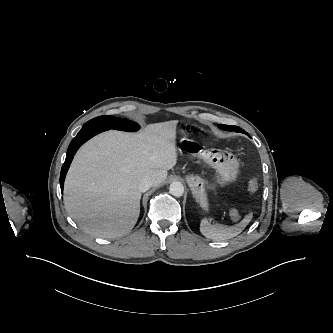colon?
I'll return each instance as SVG.
<instances>
[{"label":"colon","instance_id":"colon-1","mask_svg":"<svg viewBox=\"0 0 333 333\" xmlns=\"http://www.w3.org/2000/svg\"><path fill=\"white\" fill-rule=\"evenodd\" d=\"M258 182L256 179H251L249 182H248V185H247V190L250 194H253L255 193L257 190H258ZM229 216L230 218L233 220V221H237L241 218V213L239 212L238 209L236 208H233L230 210L229 212Z\"/></svg>","mask_w":333,"mask_h":333}]
</instances>
